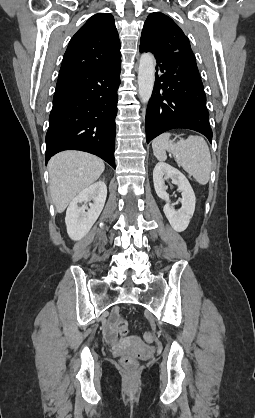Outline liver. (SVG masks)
I'll return each mask as SVG.
<instances>
[{
  "label": "liver",
  "instance_id": "obj_1",
  "mask_svg": "<svg viewBox=\"0 0 255 418\" xmlns=\"http://www.w3.org/2000/svg\"><path fill=\"white\" fill-rule=\"evenodd\" d=\"M103 160L81 151H64L48 163L50 194L56 211L62 213L82 190L103 173Z\"/></svg>",
  "mask_w": 255,
  "mask_h": 418
}]
</instances>
